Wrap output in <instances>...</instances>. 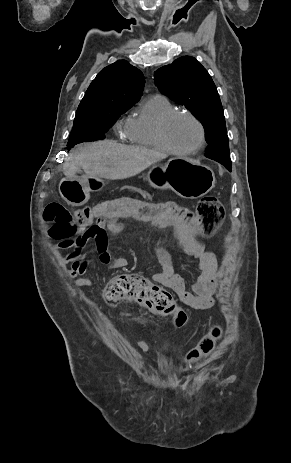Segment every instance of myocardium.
<instances>
[{
    "instance_id": "1",
    "label": "myocardium",
    "mask_w": 291,
    "mask_h": 463,
    "mask_svg": "<svg viewBox=\"0 0 291 463\" xmlns=\"http://www.w3.org/2000/svg\"><path fill=\"white\" fill-rule=\"evenodd\" d=\"M179 116H185L191 119L195 124L198 126L199 131H200V137L198 143L189 149H178L174 147L168 137H167V129L169 124L171 123L172 120ZM157 138L159 140V143L162 147V149L170 154L173 155H179V156H187L191 155L194 153L199 152L205 145L206 142V129L204 124L201 122V120L196 117L193 113L189 111H184V110H174L167 115H165L159 122L157 126Z\"/></svg>"
}]
</instances>
